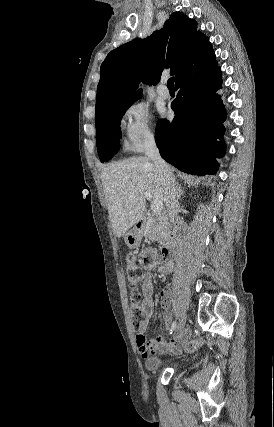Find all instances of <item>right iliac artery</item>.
I'll list each match as a JSON object with an SVG mask.
<instances>
[{"mask_svg":"<svg viewBox=\"0 0 274 427\" xmlns=\"http://www.w3.org/2000/svg\"><path fill=\"white\" fill-rule=\"evenodd\" d=\"M175 328H176V322L174 321V322L172 323V325H171V328H170V334H172V333H173V331L175 330Z\"/></svg>","mask_w":274,"mask_h":427,"instance_id":"obj_1","label":"right iliac artery"}]
</instances>
